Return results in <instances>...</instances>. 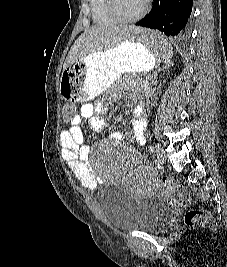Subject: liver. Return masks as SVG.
I'll use <instances>...</instances> for the list:
<instances>
[{"label": "liver", "instance_id": "obj_1", "mask_svg": "<svg viewBox=\"0 0 227 267\" xmlns=\"http://www.w3.org/2000/svg\"><path fill=\"white\" fill-rule=\"evenodd\" d=\"M122 27L123 25H95L86 29L70 49L63 69L65 70L68 64H72L77 59L110 49L130 39L127 34L135 33V30H123Z\"/></svg>", "mask_w": 227, "mask_h": 267}]
</instances>
